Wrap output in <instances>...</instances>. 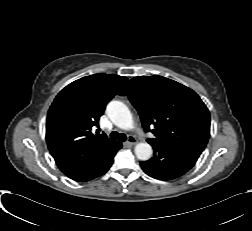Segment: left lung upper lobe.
<instances>
[{"mask_svg": "<svg viewBox=\"0 0 252 231\" xmlns=\"http://www.w3.org/2000/svg\"><path fill=\"white\" fill-rule=\"evenodd\" d=\"M126 95L137 109L142 126L155 138L150 144H176L204 150L210 136V114L190 88L162 76H140L128 81ZM151 128H153L151 130Z\"/></svg>", "mask_w": 252, "mask_h": 231, "instance_id": "5c2ea615", "label": "left lung upper lobe"}]
</instances>
